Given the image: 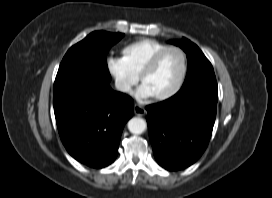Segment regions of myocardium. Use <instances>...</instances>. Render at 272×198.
I'll return each instance as SVG.
<instances>
[{
    "instance_id": "1",
    "label": "myocardium",
    "mask_w": 272,
    "mask_h": 198,
    "mask_svg": "<svg viewBox=\"0 0 272 198\" xmlns=\"http://www.w3.org/2000/svg\"><path fill=\"white\" fill-rule=\"evenodd\" d=\"M172 50L179 52L182 57V72H181L180 78H179L177 84L174 86V88L163 95L153 97V99L155 101L168 100V99L174 97L176 94H178L179 91L182 89V87L185 83L186 77H187V72H188V58H187L186 52L178 46H167V47L159 50L158 52H156L152 56V58L149 60V62L145 65V67L142 69L141 73L139 74V82L142 84L143 79L147 75H149L157 67V65L159 64L162 57L167 52L172 51Z\"/></svg>"
}]
</instances>
